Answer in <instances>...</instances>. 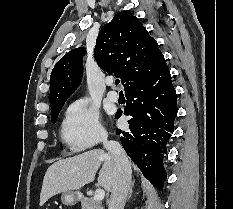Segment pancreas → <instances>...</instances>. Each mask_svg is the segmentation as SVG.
Listing matches in <instances>:
<instances>
[{
	"instance_id": "1",
	"label": "pancreas",
	"mask_w": 233,
	"mask_h": 209,
	"mask_svg": "<svg viewBox=\"0 0 233 209\" xmlns=\"http://www.w3.org/2000/svg\"><path fill=\"white\" fill-rule=\"evenodd\" d=\"M82 209H104L100 201H95L94 198L83 197L81 200Z\"/></svg>"
}]
</instances>
